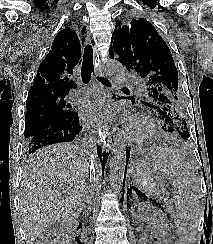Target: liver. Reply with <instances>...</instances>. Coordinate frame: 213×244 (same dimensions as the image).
I'll use <instances>...</instances> for the list:
<instances>
[{
	"label": "liver",
	"instance_id": "liver-1",
	"mask_svg": "<svg viewBox=\"0 0 213 244\" xmlns=\"http://www.w3.org/2000/svg\"><path fill=\"white\" fill-rule=\"evenodd\" d=\"M91 159L68 143L39 149L24 167L21 214L27 244L57 221L73 219L89 190Z\"/></svg>",
	"mask_w": 213,
	"mask_h": 244
}]
</instances>
